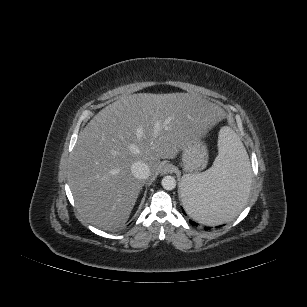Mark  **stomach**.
I'll use <instances>...</instances> for the list:
<instances>
[{"label": "stomach", "mask_w": 307, "mask_h": 307, "mask_svg": "<svg viewBox=\"0 0 307 307\" xmlns=\"http://www.w3.org/2000/svg\"><path fill=\"white\" fill-rule=\"evenodd\" d=\"M182 163L186 171L197 172L203 169L208 161V153L203 141L197 137H190L182 146Z\"/></svg>", "instance_id": "obj_1"}]
</instances>
